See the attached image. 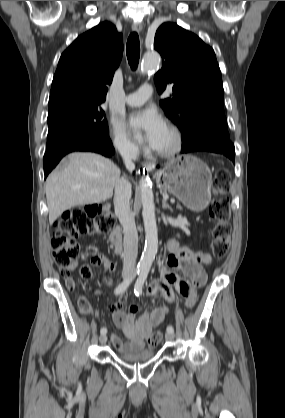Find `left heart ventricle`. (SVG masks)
<instances>
[{"instance_id": "left-heart-ventricle-1", "label": "left heart ventricle", "mask_w": 285, "mask_h": 418, "mask_svg": "<svg viewBox=\"0 0 285 418\" xmlns=\"http://www.w3.org/2000/svg\"><path fill=\"white\" fill-rule=\"evenodd\" d=\"M171 142H172V136L169 133V131L166 130L157 147L158 148L167 147L171 144Z\"/></svg>"}]
</instances>
